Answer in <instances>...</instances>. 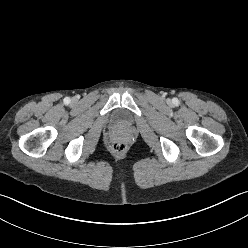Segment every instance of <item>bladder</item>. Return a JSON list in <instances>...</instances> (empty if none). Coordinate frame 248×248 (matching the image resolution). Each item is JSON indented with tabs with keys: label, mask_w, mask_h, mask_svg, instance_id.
<instances>
[{
	"label": "bladder",
	"mask_w": 248,
	"mask_h": 248,
	"mask_svg": "<svg viewBox=\"0 0 248 248\" xmlns=\"http://www.w3.org/2000/svg\"><path fill=\"white\" fill-rule=\"evenodd\" d=\"M128 121V116L123 110H116L113 114V122L117 124L126 123Z\"/></svg>",
	"instance_id": "bladder-1"
}]
</instances>
